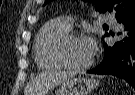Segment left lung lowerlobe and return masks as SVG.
Returning a JSON list of instances; mask_svg holds the SVG:
<instances>
[{
    "label": "left lung lower lobe",
    "mask_w": 135,
    "mask_h": 95,
    "mask_svg": "<svg viewBox=\"0 0 135 95\" xmlns=\"http://www.w3.org/2000/svg\"><path fill=\"white\" fill-rule=\"evenodd\" d=\"M121 38L112 45H104V58L88 73L114 75L124 79L135 89V10L118 20ZM114 36V33H111ZM106 36H109L107 34Z\"/></svg>",
    "instance_id": "left-lung-lower-lobe-1"
}]
</instances>
